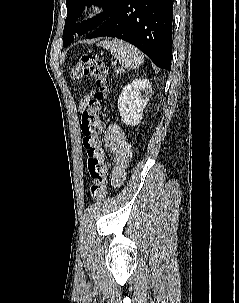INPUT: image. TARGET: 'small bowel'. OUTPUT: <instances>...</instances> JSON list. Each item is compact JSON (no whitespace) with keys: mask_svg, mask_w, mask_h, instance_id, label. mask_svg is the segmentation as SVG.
Instances as JSON below:
<instances>
[{"mask_svg":"<svg viewBox=\"0 0 239 303\" xmlns=\"http://www.w3.org/2000/svg\"><path fill=\"white\" fill-rule=\"evenodd\" d=\"M84 104L81 106L83 108ZM103 144L112 154L111 184L120 187L126 180V168L131 158V144L126 133L116 124L108 125Z\"/></svg>","mask_w":239,"mask_h":303,"instance_id":"c3829d8e","label":"small bowel"}]
</instances>
